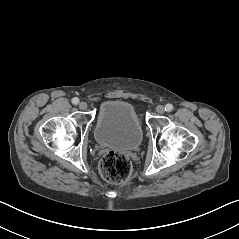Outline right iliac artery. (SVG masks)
Here are the masks:
<instances>
[{"label": "right iliac artery", "instance_id": "1", "mask_svg": "<svg viewBox=\"0 0 239 239\" xmlns=\"http://www.w3.org/2000/svg\"><path fill=\"white\" fill-rule=\"evenodd\" d=\"M72 103H73L74 105H77V104L79 103V99H78L77 97L73 98V99H72Z\"/></svg>", "mask_w": 239, "mask_h": 239}]
</instances>
